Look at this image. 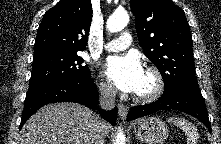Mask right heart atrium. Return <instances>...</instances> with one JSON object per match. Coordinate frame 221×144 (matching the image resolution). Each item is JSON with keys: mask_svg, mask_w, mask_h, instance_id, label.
Listing matches in <instances>:
<instances>
[{"mask_svg": "<svg viewBox=\"0 0 221 144\" xmlns=\"http://www.w3.org/2000/svg\"><path fill=\"white\" fill-rule=\"evenodd\" d=\"M99 90H100L101 94L106 97H110L114 93V89H113L112 85L106 81H102L99 83Z\"/></svg>", "mask_w": 221, "mask_h": 144, "instance_id": "obj_1", "label": "right heart atrium"}]
</instances>
